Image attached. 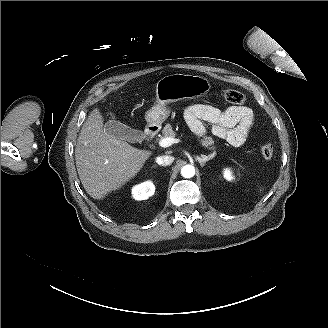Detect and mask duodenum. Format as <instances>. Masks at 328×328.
<instances>
[{"label":"duodenum","mask_w":328,"mask_h":328,"mask_svg":"<svg viewBox=\"0 0 328 328\" xmlns=\"http://www.w3.org/2000/svg\"><path fill=\"white\" fill-rule=\"evenodd\" d=\"M155 134H156V128L153 126L148 127L145 132V140L147 142H150L154 138Z\"/></svg>","instance_id":"1"}]
</instances>
